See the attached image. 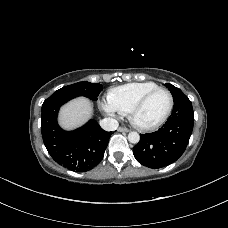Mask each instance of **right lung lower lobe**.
<instances>
[{
  "label": "right lung lower lobe",
  "instance_id": "98d812e1",
  "mask_svg": "<svg viewBox=\"0 0 228 228\" xmlns=\"http://www.w3.org/2000/svg\"><path fill=\"white\" fill-rule=\"evenodd\" d=\"M76 96L52 94L42 105L41 130L45 147L60 165L76 171L93 169L103 158L111 132L90 120L74 131H64L57 123L61 105Z\"/></svg>",
  "mask_w": 228,
  "mask_h": 228
}]
</instances>
